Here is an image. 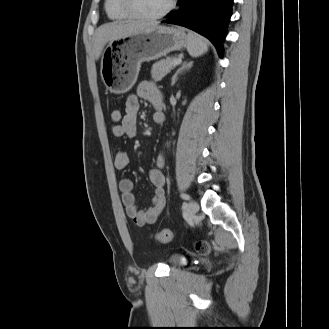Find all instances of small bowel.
I'll use <instances>...</instances> for the list:
<instances>
[{
  "instance_id": "small-bowel-1",
  "label": "small bowel",
  "mask_w": 329,
  "mask_h": 329,
  "mask_svg": "<svg viewBox=\"0 0 329 329\" xmlns=\"http://www.w3.org/2000/svg\"><path fill=\"white\" fill-rule=\"evenodd\" d=\"M140 99L149 102L155 110H159L163 106L162 93L151 82H143L136 94H131L125 101V114L120 124H113L111 132L114 137H130L137 135V113L140 108ZM115 168L117 170H125L129 165V157L119 151L115 156ZM164 160L158 157L156 166L149 172V179L154 187V197L152 204L144 210H141L136 202L133 192V181L129 178H121L119 181V190L121 192V200L125 208L126 215L140 227H144L154 223L164 210L165 200V176L162 171Z\"/></svg>"
}]
</instances>
